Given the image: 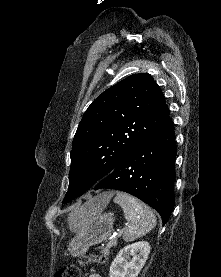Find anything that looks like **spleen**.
I'll return each instance as SVG.
<instances>
[{
  "label": "spleen",
  "mask_w": 221,
  "mask_h": 277,
  "mask_svg": "<svg viewBox=\"0 0 221 277\" xmlns=\"http://www.w3.org/2000/svg\"><path fill=\"white\" fill-rule=\"evenodd\" d=\"M114 202L122 207L128 221L123 234L126 242L134 241L155 228V215L146 204L140 202L137 198L124 192H117Z\"/></svg>",
  "instance_id": "obj_1"
}]
</instances>
